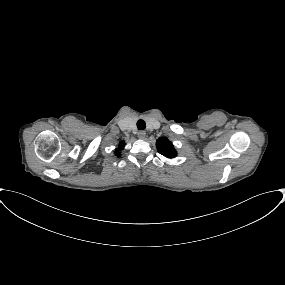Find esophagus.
<instances>
[{
	"label": "esophagus",
	"instance_id": "1",
	"mask_svg": "<svg viewBox=\"0 0 285 285\" xmlns=\"http://www.w3.org/2000/svg\"><path fill=\"white\" fill-rule=\"evenodd\" d=\"M137 135H138V138L144 139L146 136V132L144 130H140Z\"/></svg>",
	"mask_w": 285,
	"mask_h": 285
}]
</instances>
